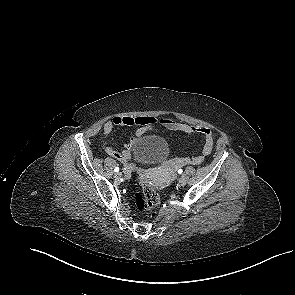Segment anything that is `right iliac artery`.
Listing matches in <instances>:
<instances>
[{
	"instance_id": "obj_1",
	"label": "right iliac artery",
	"mask_w": 295,
	"mask_h": 295,
	"mask_svg": "<svg viewBox=\"0 0 295 295\" xmlns=\"http://www.w3.org/2000/svg\"><path fill=\"white\" fill-rule=\"evenodd\" d=\"M114 171L117 173L119 172V168L118 167H115Z\"/></svg>"
}]
</instances>
